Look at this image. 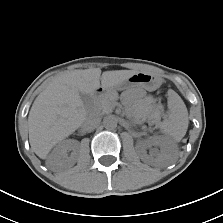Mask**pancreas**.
Returning a JSON list of instances; mask_svg holds the SVG:
<instances>
[{"mask_svg":"<svg viewBox=\"0 0 223 223\" xmlns=\"http://www.w3.org/2000/svg\"><path fill=\"white\" fill-rule=\"evenodd\" d=\"M117 99L118 94L116 91L106 92L93 101L91 109L93 112L100 114L110 113L114 109Z\"/></svg>","mask_w":223,"mask_h":223,"instance_id":"obj_1","label":"pancreas"}]
</instances>
